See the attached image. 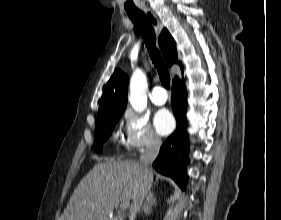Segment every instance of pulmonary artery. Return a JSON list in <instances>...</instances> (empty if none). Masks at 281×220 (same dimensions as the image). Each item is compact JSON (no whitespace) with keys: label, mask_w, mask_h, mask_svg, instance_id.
Listing matches in <instances>:
<instances>
[{"label":"pulmonary artery","mask_w":281,"mask_h":220,"mask_svg":"<svg viewBox=\"0 0 281 220\" xmlns=\"http://www.w3.org/2000/svg\"><path fill=\"white\" fill-rule=\"evenodd\" d=\"M150 98L155 105H163L167 101V93L162 86H155Z\"/></svg>","instance_id":"1"}]
</instances>
